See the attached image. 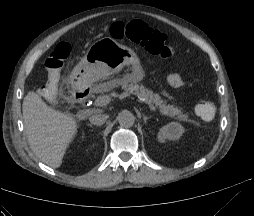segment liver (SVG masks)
<instances>
[{"mask_svg": "<svg viewBox=\"0 0 254 216\" xmlns=\"http://www.w3.org/2000/svg\"><path fill=\"white\" fill-rule=\"evenodd\" d=\"M22 111L26 136L32 151L48 166L60 167L82 117L49 107L34 92H29L24 97Z\"/></svg>", "mask_w": 254, "mask_h": 216, "instance_id": "1", "label": "liver"}]
</instances>
